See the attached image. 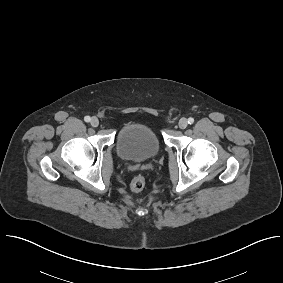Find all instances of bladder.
<instances>
[{"label": "bladder", "instance_id": "1", "mask_svg": "<svg viewBox=\"0 0 283 283\" xmlns=\"http://www.w3.org/2000/svg\"><path fill=\"white\" fill-rule=\"evenodd\" d=\"M161 147V140L154 128L141 122L123 128L116 141L118 157L131 162L150 160L159 154Z\"/></svg>", "mask_w": 283, "mask_h": 283}]
</instances>
